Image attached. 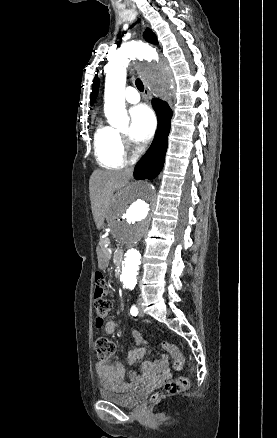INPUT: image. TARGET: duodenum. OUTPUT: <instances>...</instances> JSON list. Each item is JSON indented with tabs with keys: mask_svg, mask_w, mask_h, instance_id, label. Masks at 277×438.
<instances>
[{
	"mask_svg": "<svg viewBox=\"0 0 277 438\" xmlns=\"http://www.w3.org/2000/svg\"><path fill=\"white\" fill-rule=\"evenodd\" d=\"M124 259V253L122 251H116L114 254V262L117 266H121Z\"/></svg>",
	"mask_w": 277,
	"mask_h": 438,
	"instance_id": "duodenum-1",
	"label": "duodenum"
}]
</instances>
